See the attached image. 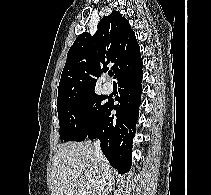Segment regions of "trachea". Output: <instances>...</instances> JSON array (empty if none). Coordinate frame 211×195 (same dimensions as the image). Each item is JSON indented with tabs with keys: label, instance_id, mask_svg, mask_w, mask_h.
<instances>
[{
	"label": "trachea",
	"instance_id": "trachea-1",
	"mask_svg": "<svg viewBox=\"0 0 211 195\" xmlns=\"http://www.w3.org/2000/svg\"><path fill=\"white\" fill-rule=\"evenodd\" d=\"M108 74H109L110 76H112V75H113L112 71H109V72H108Z\"/></svg>",
	"mask_w": 211,
	"mask_h": 195
}]
</instances>
